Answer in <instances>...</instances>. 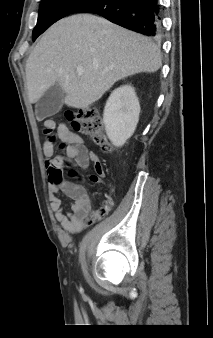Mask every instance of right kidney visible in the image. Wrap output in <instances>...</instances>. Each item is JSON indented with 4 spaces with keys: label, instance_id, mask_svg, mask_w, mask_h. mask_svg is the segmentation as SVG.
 <instances>
[{
    "label": "right kidney",
    "instance_id": "right-kidney-1",
    "mask_svg": "<svg viewBox=\"0 0 213 338\" xmlns=\"http://www.w3.org/2000/svg\"><path fill=\"white\" fill-rule=\"evenodd\" d=\"M139 113V101L132 86L124 85L111 93L104 108L103 121L113 145L122 146L133 135Z\"/></svg>",
    "mask_w": 213,
    "mask_h": 338
}]
</instances>
